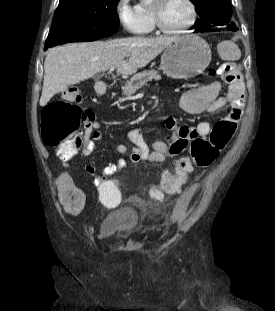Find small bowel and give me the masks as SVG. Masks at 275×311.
Listing matches in <instances>:
<instances>
[{
    "mask_svg": "<svg viewBox=\"0 0 275 311\" xmlns=\"http://www.w3.org/2000/svg\"><path fill=\"white\" fill-rule=\"evenodd\" d=\"M218 53L222 57L239 59L241 56L238 47L231 41H225L218 46ZM228 90L224 95H219L221 85L219 82H212L200 87L188 90L182 97L181 108L189 114L215 113L220 110L223 112V119H239L244 105L245 90L241 77L240 67H237L234 76L227 81ZM149 126H160V119H149ZM167 132L161 140H154L148 143L143 131L139 128L127 133V139L134 144V149L128 159L119 158L107 164L95 177V183H103L104 178H110L115 172L124 168L128 162L139 160L150 163H161L166 159L180 154L193 137L208 135L214 125L207 121H201L195 125H179L173 118L165 120ZM86 138L83 155H90L96 147L97 141L102 139L99 131L100 124L95 116L85 125ZM115 151L119 154H126L127 147L124 144H117ZM86 171L94 174L95 168L91 164L86 165ZM77 174V171H74ZM115 186V185H114ZM58 188L61 192L59 200L62 201L61 213L67 216H82L85 210L84 189L75 187L70 175L64 174L59 180Z\"/></svg>",
    "mask_w": 275,
    "mask_h": 311,
    "instance_id": "1",
    "label": "small bowel"
}]
</instances>
